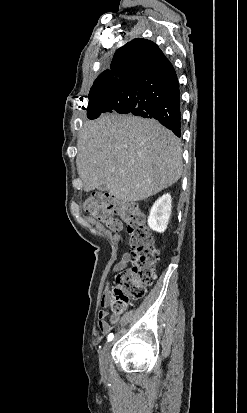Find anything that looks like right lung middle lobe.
<instances>
[{
    "label": "right lung middle lobe",
    "instance_id": "1",
    "mask_svg": "<svg viewBox=\"0 0 247 413\" xmlns=\"http://www.w3.org/2000/svg\"><path fill=\"white\" fill-rule=\"evenodd\" d=\"M132 88L125 82H107L95 80L89 93L87 110L93 109L98 103L111 96H128L132 94Z\"/></svg>",
    "mask_w": 247,
    "mask_h": 413
}]
</instances>
